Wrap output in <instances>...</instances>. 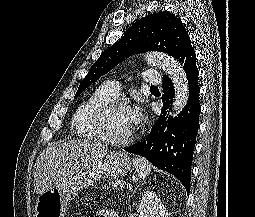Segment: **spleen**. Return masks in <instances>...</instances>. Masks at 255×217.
<instances>
[{"label":"spleen","mask_w":255,"mask_h":217,"mask_svg":"<svg viewBox=\"0 0 255 217\" xmlns=\"http://www.w3.org/2000/svg\"><path fill=\"white\" fill-rule=\"evenodd\" d=\"M134 168L138 176L142 179L146 178L151 172V164L144 158L133 159Z\"/></svg>","instance_id":"obj_1"}]
</instances>
